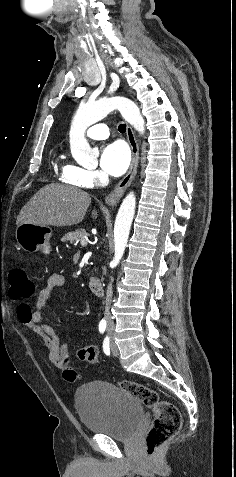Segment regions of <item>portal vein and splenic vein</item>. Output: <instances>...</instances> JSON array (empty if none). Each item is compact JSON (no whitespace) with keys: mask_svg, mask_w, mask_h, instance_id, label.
<instances>
[{"mask_svg":"<svg viewBox=\"0 0 236 477\" xmlns=\"http://www.w3.org/2000/svg\"><path fill=\"white\" fill-rule=\"evenodd\" d=\"M81 246H86L87 245V241L85 239L81 240L80 242Z\"/></svg>","mask_w":236,"mask_h":477,"instance_id":"1","label":"portal vein and splenic vein"}]
</instances>
